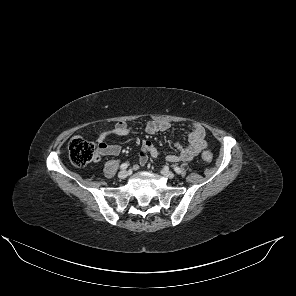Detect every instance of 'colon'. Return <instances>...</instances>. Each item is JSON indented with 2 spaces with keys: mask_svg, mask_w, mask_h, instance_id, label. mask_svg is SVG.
<instances>
[{
  "mask_svg": "<svg viewBox=\"0 0 296 296\" xmlns=\"http://www.w3.org/2000/svg\"><path fill=\"white\" fill-rule=\"evenodd\" d=\"M69 158L76 167H84L97 158V149L94 143L81 137H73L68 144ZM203 161L210 163L213 159L209 151L202 153Z\"/></svg>",
  "mask_w": 296,
  "mask_h": 296,
  "instance_id": "colon-1",
  "label": "colon"
}]
</instances>
